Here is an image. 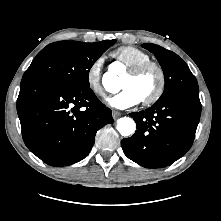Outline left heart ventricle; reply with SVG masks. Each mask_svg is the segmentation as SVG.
<instances>
[{"label": "left heart ventricle", "instance_id": "1", "mask_svg": "<svg viewBox=\"0 0 221 221\" xmlns=\"http://www.w3.org/2000/svg\"><path fill=\"white\" fill-rule=\"evenodd\" d=\"M158 83L157 71L153 68L146 70L140 75L132 76L126 73L122 79L120 87L132 88L141 100L150 96Z\"/></svg>", "mask_w": 221, "mask_h": 221}]
</instances>
